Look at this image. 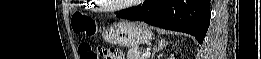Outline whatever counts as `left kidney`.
Returning <instances> with one entry per match:
<instances>
[{
    "mask_svg": "<svg viewBox=\"0 0 261 59\" xmlns=\"http://www.w3.org/2000/svg\"><path fill=\"white\" fill-rule=\"evenodd\" d=\"M172 58H173V54L171 55L170 59H172Z\"/></svg>",
    "mask_w": 261,
    "mask_h": 59,
    "instance_id": "1",
    "label": "left kidney"
}]
</instances>
